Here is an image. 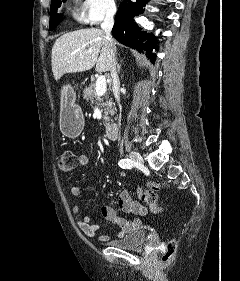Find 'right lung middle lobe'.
<instances>
[{
	"mask_svg": "<svg viewBox=\"0 0 240 281\" xmlns=\"http://www.w3.org/2000/svg\"><path fill=\"white\" fill-rule=\"evenodd\" d=\"M66 0H52L51 1V9H50V23L49 29L53 30L59 24V14L56 13L57 9L61 6L62 2Z\"/></svg>",
	"mask_w": 240,
	"mask_h": 281,
	"instance_id": "1",
	"label": "right lung middle lobe"
}]
</instances>
